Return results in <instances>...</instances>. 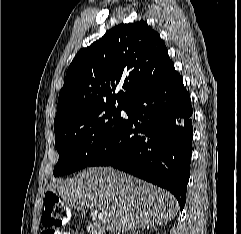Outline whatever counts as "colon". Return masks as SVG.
I'll use <instances>...</instances> for the list:
<instances>
[{
  "label": "colon",
  "mask_w": 241,
  "mask_h": 234,
  "mask_svg": "<svg viewBox=\"0 0 241 234\" xmlns=\"http://www.w3.org/2000/svg\"><path fill=\"white\" fill-rule=\"evenodd\" d=\"M45 209L42 215V224L48 229L59 227L70 219L68 207L54 193L45 196Z\"/></svg>",
  "instance_id": "colon-1"
}]
</instances>
